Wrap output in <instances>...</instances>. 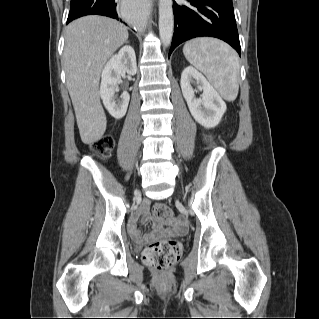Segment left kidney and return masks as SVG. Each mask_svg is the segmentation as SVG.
I'll list each match as a JSON object with an SVG mask.
<instances>
[{
  "instance_id": "obj_1",
  "label": "left kidney",
  "mask_w": 319,
  "mask_h": 319,
  "mask_svg": "<svg viewBox=\"0 0 319 319\" xmlns=\"http://www.w3.org/2000/svg\"><path fill=\"white\" fill-rule=\"evenodd\" d=\"M180 84L194 119L205 128L217 126L227 107L206 78L194 67L188 66L182 72ZM192 84H197V87L203 90L201 98L195 97Z\"/></svg>"
}]
</instances>
